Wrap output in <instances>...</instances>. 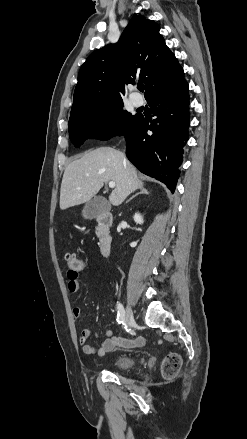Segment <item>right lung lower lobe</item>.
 <instances>
[{
    "label": "right lung lower lobe",
    "instance_id": "98d812e1",
    "mask_svg": "<svg viewBox=\"0 0 247 439\" xmlns=\"http://www.w3.org/2000/svg\"><path fill=\"white\" fill-rule=\"evenodd\" d=\"M188 92L185 81L174 89L150 97L147 102L156 118L149 122L139 115L123 134L130 162L144 174L165 183L172 192L180 173L177 169L182 161L183 143L189 138Z\"/></svg>",
    "mask_w": 247,
    "mask_h": 439
}]
</instances>
